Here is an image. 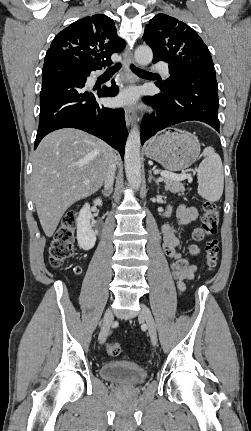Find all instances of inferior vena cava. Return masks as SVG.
<instances>
[{
  "label": "inferior vena cava",
  "mask_w": 251,
  "mask_h": 431,
  "mask_svg": "<svg viewBox=\"0 0 251 431\" xmlns=\"http://www.w3.org/2000/svg\"><path fill=\"white\" fill-rule=\"evenodd\" d=\"M115 170H116L115 160H112L104 178V187L106 191H109L110 189H112V186L114 183V177H115Z\"/></svg>",
  "instance_id": "inferior-vena-cava-1"
}]
</instances>
